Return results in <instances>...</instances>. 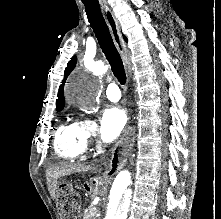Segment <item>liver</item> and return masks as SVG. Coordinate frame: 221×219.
<instances>
[{"mask_svg": "<svg viewBox=\"0 0 221 219\" xmlns=\"http://www.w3.org/2000/svg\"><path fill=\"white\" fill-rule=\"evenodd\" d=\"M92 170V167L82 163L64 162L62 164L49 167L47 169V184L50 195L53 199L56 198L58 179L74 173L87 172Z\"/></svg>", "mask_w": 221, "mask_h": 219, "instance_id": "obj_1", "label": "liver"}]
</instances>
